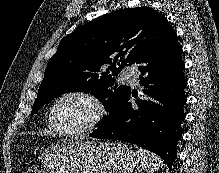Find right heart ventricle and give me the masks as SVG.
Instances as JSON below:
<instances>
[{
    "label": "right heart ventricle",
    "instance_id": "e07e8e85",
    "mask_svg": "<svg viewBox=\"0 0 219 173\" xmlns=\"http://www.w3.org/2000/svg\"><path fill=\"white\" fill-rule=\"evenodd\" d=\"M46 132L49 134V135H56V133L52 130L51 126L48 124L47 126V129H46Z\"/></svg>",
    "mask_w": 219,
    "mask_h": 173
}]
</instances>
